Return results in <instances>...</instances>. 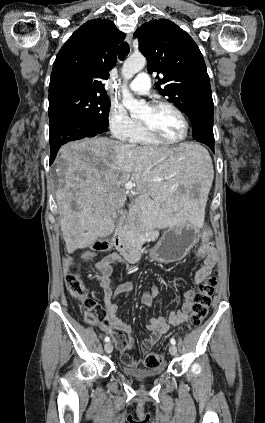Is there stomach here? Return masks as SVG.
I'll use <instances>...</instances> for the list:
<instances>
[{
	"instance_id": "obj_1",
	"label": "stomach",
	"mask_w": 265,
	"mask_h": 423,
	"mask_svg": "<svg viewBox=\"0 0 265 423\" xmlns=\"http://www.w3.org/2000/svg\"><path fill=\"white\" fill-rule=\"evenodd\" d=\"M206 162H210L208 152L202 148ZM202 185V183H201ZM191 187V186H190ZM189 187V188H190ZM199 240V227L189 220L169 228L150 250V258L159 263H171L184 258Z\"/></svg>"
}]
</instances>
